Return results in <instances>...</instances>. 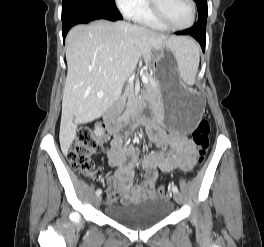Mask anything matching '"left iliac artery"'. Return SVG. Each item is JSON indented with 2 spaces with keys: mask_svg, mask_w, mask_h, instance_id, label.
<instances>
[{
  "mask_svg": "<svg viewBox=\"0 0 264 247\" xmlns=\"http://www.w3.org/2000/svg\"><path fill=\"white\" fill-rule=\"evenodd\" d=\"M171 189H172V191H173L174 193H177V192H178V188H177V186H175V185H172Z\"/></svg>",
  "mask_w": 264,
  "mask_h": 247,
  "instance_id": "44dca946",
  "label": "left iliac artery"
}]
</instances>
